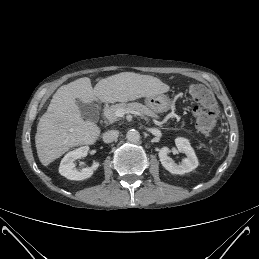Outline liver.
<instances>
[{
    "label": "liver",
    "mask_w": 259,
    "mask_h": 259,
    "mask_svg": "<svg viewBox=\"0 0 259 259\" xmlns=\"http://www.w3.org/2000/svg\"><path fill=\"white\" fill-rule=\"evenodd\" d=\"M168 90L169 86L158 78L133 72H122L101 79L94 88L88 77L61 86L37 126L35 144L40 162L48 166L70 148L92 145L99 137L100 128L91 121L83 120L76 99L84 103L127 102Z\"/></svg>",
    "instance_id": "6515ba94"
}]
</instances>
